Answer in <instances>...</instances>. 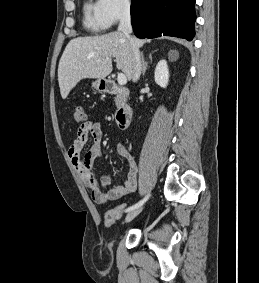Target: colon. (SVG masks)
<instances>
[{
  "label": "colon",
  "instance_id": "5ec220e1",
  "mask_svg": "<svg viewBox=\"0 0 259 283\" xmlns=\"http://www.w3.org/2000/svg\"><path fill=\"white\" fill-rule=\"evenodd\" d=\"M74 121L77 123H84L86 120L84 110L81 106L74 107ZM126 205H119L114 209H111L105 214V223L107 225H112L117 219L121 217V215L126 211Z\"/></svg>",
  "mask_w": 259,
  "mask_h": 283
}]
</instances>
